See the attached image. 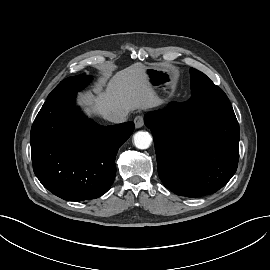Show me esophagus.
Wrapping results in <instances>:
<instances>
[{"label": "esophagus", "instance_id": "esophagus-1", "mask_svg": "<svg viewBox=\"0 0 270 270\" xmlns=\"http://www.w3.org/2000/svg\"><path fill=\"white\" fill-rule=\"evenodd\" d=\"M134 124L136 128H141L144 125L143 116H136L134 119Z\"/></svg>", "mask_w": 270, "mask_h": 270}]
</instances>
